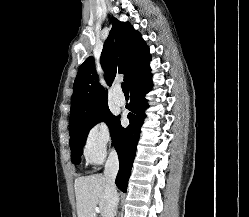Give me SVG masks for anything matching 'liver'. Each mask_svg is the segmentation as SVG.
Returning <instances> with one entry per match:
<instances>
[{"mask_svg":"<svg viewBox=\"0 0 249 217\" xmlns=\"http://www.w3.org/2000/svg\"><path fill=\"white\" fill-rule=\"evenodd\" d=\"M106 181L101 174L79 177L75 180L78 217H95V208L99 206L102 217H110L105 197Z\"/></svg>","mask_w":249,"mask_h":217,"instance_id":"obj_1","label":"liver"}]
</instances>
